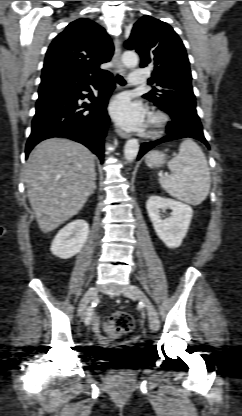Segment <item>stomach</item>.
I'll list each match as a JSON object with an SVG mask.
<instances>
[{"mask_svg": "<svg viewBox=\"0 0 242 416\" xmlns=\"http://www.w3.org/2000/svg\"><path fill=\"white\" fill-rule=\"evenodd\" d=\"M166 162V156L157 150H153L146 156V163L154 166H162Z\"/></svg>", "mask_w": 242, "mask_h": 416, "instance_id": "stomach-1", "label": "stomach"}]
</instances>
